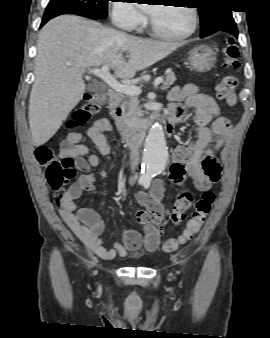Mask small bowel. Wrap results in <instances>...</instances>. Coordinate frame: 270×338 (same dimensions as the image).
<instances>
[{"label":"small bowel","instance_id":"1","mask_svg":"<svg viewBox=\"0 0 270 338\" xmlns=\"http://www.w3.org/2000/svg\"><path fill=\"white\" fill-rule=\"evenodd\" d=\"M169 106L167 108L169 118L174 125L182 120L183 109L188 108L193 112L195 139L188 145H180L173 152V163L168 170L169 180L180 185L188 174L199 191H207L211 184L217 180L212 179L202 169V160L209 154L217 162L215 153H218L227 143L231 130L218 131L215 127L220 118V109L217 102L208 94L193 84L175 86L168 95ZM213 123L214 127L209 125ZM112 130V123L108 118L97 119L87 130L86 134L69 132L66 140L62 142L60 156L71 157L75 167L82 172L77 180L60 196H57L59 209L70 229L78 236L84 245L104 260H112L117 255H124L127 250L139 251L144 247L148 252H154L160 242L162 234L161 219L165 209L161 203L164 194L163 183L155 180L150 194L138 192L135 198L145 208V212L151 215L152 220L145 222L144 236L133 230L122 232L123 242H114L112 247L106 248L100 239L104 231L103 221L92 211L79 209L76 204L84 192L94 190L96 175L90 172L91 167L99 164L96 154H89L88 147L84 144L86 138L90 139L103 156L110 153L105 134ZM218 164V163H217ZM219 169L220 166L218 165ZM105 176V173H101ZM220 176V172H219ZM136 213L139 219L140 213Z\"/></svg>","mask_w":270,"mask_h":338}]
</instances>
